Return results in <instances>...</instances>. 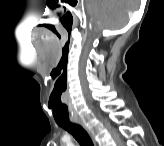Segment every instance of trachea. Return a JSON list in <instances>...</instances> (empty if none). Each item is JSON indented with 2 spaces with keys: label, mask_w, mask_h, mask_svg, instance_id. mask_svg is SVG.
<instances>
[{
  "label": "trachea",
  "mask_w": 164,
  "mask_h": 146,
  "mask_svg": "<svg viewBox=\"0 0 164 146\" xmlns=\"http://www.w3.org/2000/svg\"><path fill=\"white\" fill-rule=\"evenodd\" d=\"M58 126L71 133L81 146H93L90 136L79 124L68 121L57 122Z\"/></svg>",
  "instance_id": "3493384b"
}]
</instances>
